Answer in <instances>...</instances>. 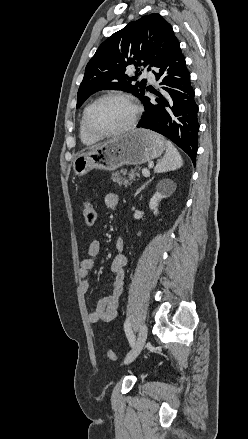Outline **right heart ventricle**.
I'll return each instance as SVG.
<instances>
[{
  "label": "right heart ventricle",
  "mask_w": 248,
  "mask_h": 439,
  "mask_svg": "<svg viewBox=\"0 0 248 439\" xmlns=\"http://www.w3.org/2000/svg\"><path fill=\"white\" fill-rule=\"evenodd\" d=\"M80 139L85 145H93L99 141V138H95L86 132L83 125V117L80 121Z\"/></svg>",
  "instance_id": "right-heart-ventricle-1"
}]
</instances>
